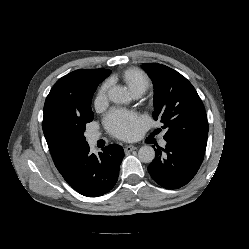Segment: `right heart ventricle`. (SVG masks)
<instances>
[{"mask_svg": "<svg viewBox=\"0 0 249 249\" xmlns=\"http://www.w3.org/2000/svg\"><path fill=\"white\" fill-rule=\"evenodd\" d=\"M113 79H120L133 95H142L150 86L147 75L138 68H128L117 74Z\"/></svg>", "mask_w": 249, "mask_h": 249, "instance_id": "obj_1", "label": "right heart ventricle"}]
</instances>
